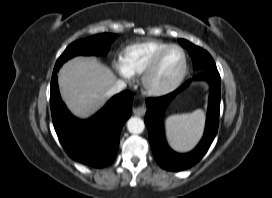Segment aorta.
Returning <instances> with one entry per match:
<instances>
[{"mask_svg": "<svg viewBox=\"0 0 272 198\" xmlns=\"http://www.w3.org/2000/svg\"><path fill=\"white\" fill-rule=\"evenodd\" d=\"M145 124L139 117H132L127 122V129L132 134H140L143 132Z\"/></svg>", "mask_w": 272, "mask_h": 198, "instance_id": "aorta-1", "label": "aorta"}]
</instances>
